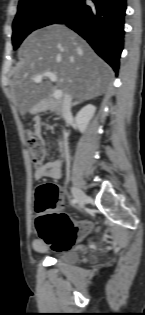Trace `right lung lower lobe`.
<instances>
[{
    "label": "right lung lower lobe",
    "mask_w": 145,
    "mask_h": 315,
    "mask_svg": "<svg viewBox=\"0 0 145 315\" xmlns=\"http://www.w3.org/2000/svg\"><path fill=\"white\" fill-rule=\"evenodd\" d=\"M73 0L55 23H65L80 34L115 72L124 43V16L126 0Z\"/></svg>",
    "instance_id": "right-lung-lower-lobe-1"
}]
</instances>
